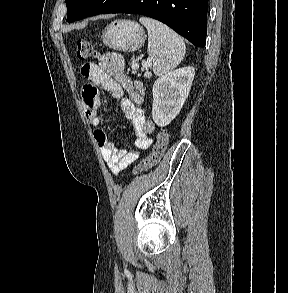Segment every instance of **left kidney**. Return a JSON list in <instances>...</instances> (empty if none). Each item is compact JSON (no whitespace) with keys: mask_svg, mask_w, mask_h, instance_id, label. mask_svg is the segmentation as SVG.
<instances>
[{"mask_svg":"<svg viewBox=\"0 0 288 293\" xmlns=\"http://www.w3.org/2000/svg\"><path fill=\"white\" fill-rule=\"evenodd\" d=\"M194 75L193 67H184L168 72L155 81L152 117L158 126L169 125L179 114L189 95Z\"/></svg>","mask_w":288,"mask_h":293,"instance_id":"left-kidney-1","label":"left kidney"}]
</instances>
